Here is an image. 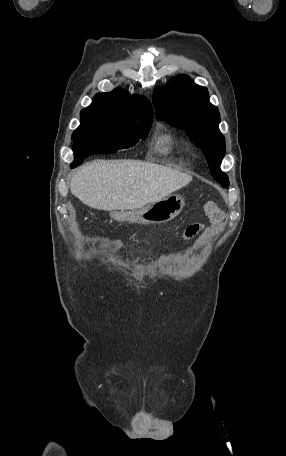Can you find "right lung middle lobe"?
<instances>
[{"mask_svg": "<svg viewBox=\"0 0 286 456\" xmlns=\"http://www.w3.org/2000/svg\"><path fill=\"white\" fill-rule=\"evenodd\" d=\"M80 116L81 124L72 135L74 162L71 168L82 164L91 154H111L144 140L153 122L150 118H126L87 109H83Z\"/></svg>", "mask_w": 286, "mask_h": 456, "instance_id": "obj_1", "label": "right lung middle lobe"}]
</instances>
